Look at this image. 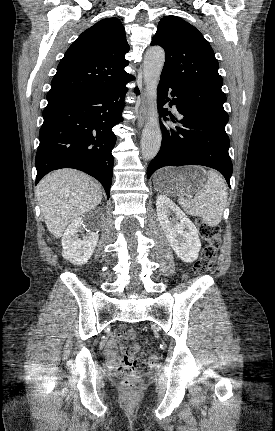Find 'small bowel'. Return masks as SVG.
<instances>
[{"label": "small bowel", "mask_w": 275, "mask_h": 431, "mask_svg": "<svg viewBox=\"0 0 275 431\" xmlns=\"http://www.w3.org/2000/svg\"><path fill=\"white\" fill-rule=\"evenodd\" d=\"M126 334V331L123 327H119L115 335L109 340L106 346V354L108 357V362L111 367L117 365L118 358H117V346L120 344V341L122 337ZM133 351L131 349H128L126 351V355L124 357V362H131L133 361Z\"/></svg>", "instance_id": "1"}]
</instances>
